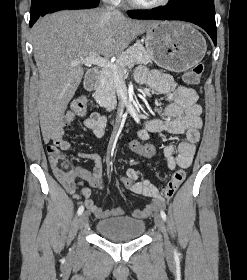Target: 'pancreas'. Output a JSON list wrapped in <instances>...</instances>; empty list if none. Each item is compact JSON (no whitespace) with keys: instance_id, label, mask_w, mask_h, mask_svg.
I'll return each mask as SVG.
<instances>
[{"instance_id":"pancreas-1","label":"pancreas","mask_w":247,"mask_h":280,"mask_svg":"<svg viewBox=\"0 0 247 280\" xmlns=\"http://www.w3.org/2000/svg\"><path fill=\"white\" fill-rule=\"evenodd\" d=\"M152 63V58L142 44H134L123 52L116 60L117 70L104 68L100 75L99 85L93 95L96 102L107 109L115 108L116 100V79L122 78L126 67L131 68L135 64Z\"/></svg>"}]
</instances>
